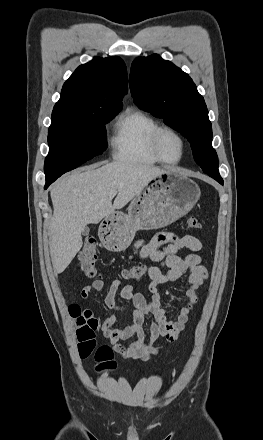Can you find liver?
<instances>
[{
    "label": "liver",
    "mask_w": 263,
    "mask_h": 440,
    "mask_svg": "<svg viewBox=\"0 0 263 440\" xmlns=\"http://www.w3.org/2000/svg\"><path fill=\"white\" fill-rule=\"evenodd\" d=\"M165 172L153 165L117 161L85 167L59 180L50 194L54 208L49 227L54 271L62 273L79 252L86 225L97 224L123 208ZM111 192H117L113 204Z\"/></svg>",
    "instance_id": "1"
}]
</instances>
